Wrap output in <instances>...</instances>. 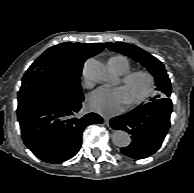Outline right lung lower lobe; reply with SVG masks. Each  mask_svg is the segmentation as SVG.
<instances>
[{
    "mask_svg": "<svg viewBox=\"0 0 194 193\" xmlns=\"http://www.w3.org/2000/svg\"><path fill=\"white\" fill-rule=\"evenodd\" d=\"M84 98L73 103H33L18 105L17 117L25 145L39 159L61 163L80 149L82 132L102 118L89 113L77 116Z\"/></svg>",
    "mask_w": 194,
    "mask_h": 193,
    "instance_id": "right-lung-lower-lobe-1",
    "label": "right lung lower lobe"
}]
</instances>
